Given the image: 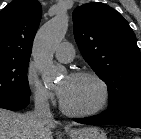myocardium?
<instances>
[{
  "instance_id": "1",
  "label": "myocardium",
  "mask_w": 141,
  "mask_h": 139,
  "mask_svg": "<svg viewBox=\"0 0 141 139\" xmlns=\"http://www.w3.org/2000/svg\"><path fill=\"white\" fill-rule=\"evenodd\" d=\"M69 76L74 78L88 77L95 80L100 86L102 96L96 107L86 111H75L68 108L60 97L59 103L63 113L72 117H91L101 113L108 106L110 100V90L106 81L99 74L90 70H78L72 72Z\"/></svg>"
}]
</instances>
